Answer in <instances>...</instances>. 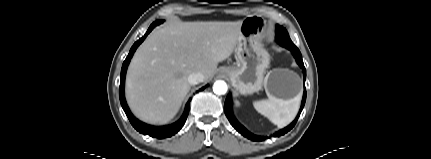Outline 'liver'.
I'll return each mask as SVG.
<instances>
[{"instance_id":"1","label":"liver","mask_w":431,"mask_h":159,"mask_svg":"<svg viewBox=\"0 0 431 159\" xmlns=\"http://www.w3.org/2000/svg\"><path fill=\"white\" fill-rule=\"evenodd\" d=\"M242 21L172 22L151 32L129 65L125 95L134 115L169 122L190 90L188 76L211 78L235 51Z\"/></svg>"}]
</instances>
